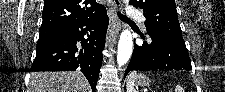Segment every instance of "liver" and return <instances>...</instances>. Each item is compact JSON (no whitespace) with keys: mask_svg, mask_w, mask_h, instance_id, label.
Returning <instances> with one entry per match:
<instances>
[{"mask_svg":"<svg viewBox=\"0 0 225 92\" xmlns=\"http://www.w3.org/2000/svg\"><path fill=\"white\" fill-rule=\"evenodd\" d=\"M28 92H90L80 72H35L30 76Z\"/></svg>","mask_w":225,"mask_h":92,"instance_id":"liver-1","label":"liver"}]
</instances>
